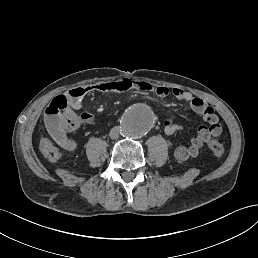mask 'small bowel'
Listing matches in <instances>:
<instances>
[{"instance_id": "c3829d8e", "label": "small bowel", "mask_w": 258, "mask_h": 258, "mask_svg": "<svg viewBox=\"0 0 258 258\" xmlns=\"http://www.w3.org/2000/svg\"><path fill=\"white\" fill-rule=\"evenodd\" d=\"M128 90H139L152 92L159 97L172 95L177 100L186 102L190 105L193 112L200 115L208 126L200 125L197 135L192 138L187 146H178L173 149V155L177 160L184 161L191 157H196L202 146L209 142L211 138L218 137L222 132V126L218 115L213 107L208 105L203 99L192 95L190 92L165 86H153L146 81H134L122 78L113 82H102L93 85L80 86L71 89L64 95L55 97L45 111V125L53 140L64 150L74 151L76 142L67 136V129L64 125V118L70 110H81L84 98L93 92H124ZM82 123L94 124L95 119L89 113L81 115ZM183 127L173 122L172 117L164 121V132L167 135L181 131Z\"/></svg>"}]
</instances>
